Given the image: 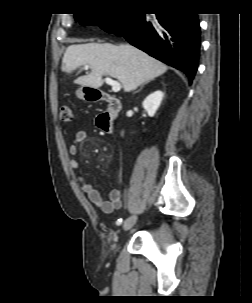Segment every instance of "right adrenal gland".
I'll return each instance as SVG.
<instances>
[{"label": "right adrenal gland", "instance_id": "1", "mask_svg": "<svg viewBox=\"0 0 252 303\" xmlns=\"http://www.w3.org/2000/svg\"><path fill=\"white\" fill-rule=\"evenodd\" d=\"M148 82H149V81L143 83L142 86L140 87V89H141L145 84H147Z\"/></svg>", "mask_w": 252, "mask_h": 303}]
</instances>
